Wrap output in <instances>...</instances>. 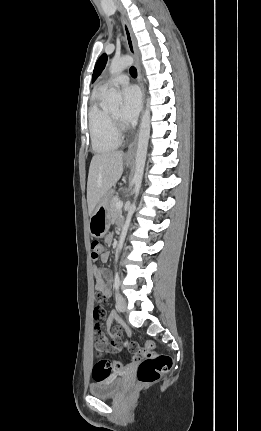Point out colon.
<instances>
[{
	"label": "colon",
	"mask_w": 261,
	"mask_h": 431,
	"mask_svg": "<svg viewBox=\"0 0 261 431\" xmlns=\"http://www.w3.org/2000/svg\"><path fill=\"white\" fill-rule=\"evenodd\" d=\"M91 248L92 259L94 260L101 259L108 253V244L106 242L93 241ZM95 355L98 360L91 373L94 383H105L107 379L111 378V373H121L124 370L121 360H115L113 364H110V362L102 358L100 350H97ZM133 357L139 361L137 377L141 386L157 382L172 367L171 357L154 351V343L151 341L146 343L143 350L139 349Z\"/></svg>",
	"instance_id": "1"
}]
</instances>
